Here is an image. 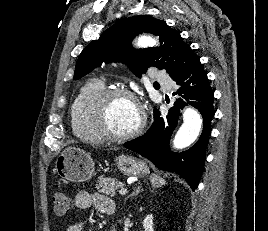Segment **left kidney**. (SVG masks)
<instances>
[{
	"instance_id": "obj_1",
	"label": "left kidney",
	"mask_w": 268,
	"mask_h": 231,
	"mask_svg": "<svg viewBox=\"0 0 268 231\" xmlns=\"http://www.w3.org/2000/svg\"><path fill=\"white\" fill-rule=\"evenodd\" d=\"M144 231H154L153 227V215L148 214L143 220Z\"/></svg>"
}]
</instances>
